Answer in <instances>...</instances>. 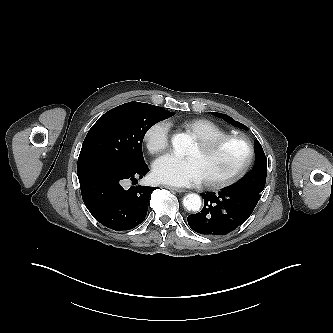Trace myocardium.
Returning <instances> with one entry per match:
<instances>
[{
	"label": "myocardium",
	"instance_id": "obj_1",
	"mask_svg": "<svg viewBox=\"0 0 333 333\" xmlns=\"http://www.w3.org/2000/svg\"><path fill=\"white\" fill-rule=\"evenodd\" d=\"M230 142L239 143L243 147L244 159L240 166L226 177H223L221 179H204L205 185L209 188L222 189L232 185L241 177H243L253 162L254 150L251 142L242 135L225 134L217 138L197 140V145L203 152L213 151Z\"/></svg>",
	"mask_w": 333,
	"mask_h": 333
}]
</instances>
